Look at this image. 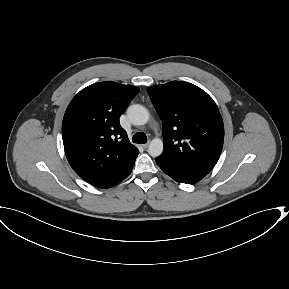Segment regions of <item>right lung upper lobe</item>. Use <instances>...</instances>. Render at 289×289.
<instances>
[{
	"label": "right lung upper lobe",
	"instance_id": "1",
	"mask_svg": "<svg viewBox=\"0 0 289 289\" xmlns=\"http://www.w3.org/2000/svg\"><path fill=\"white\" fill-rule=\"evenodd\" d=\"M139 89L115 82L92 84L70 102L62 122L68 162L85 181L110 188L132 171L139 153L119 118Z\"/></svg>",
	"mask_w": 289,
	"mask_h": 289
}]
</instances>
